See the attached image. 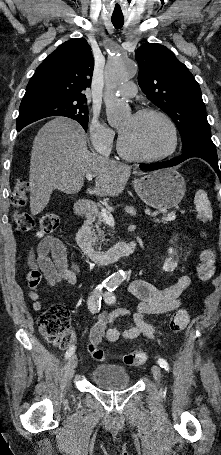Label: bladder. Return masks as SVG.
I'll return each mask as SVG.
<instances>
[{"label":"bladder","mask_w":221,"mask_h":455,"mask_svg":"<svg viewBox=\"0 0 221 455\" xmlns=\"http://www.w3.org/2000/svg\"><path fill=\"white\" fill-rule=\"evenodd\" d=\"M89 375L96 386L106 390H117L131 385L127 371L120 365H98L90 371Z\"/></svg>","instance_id":"bladder-1"}]
</instances>
